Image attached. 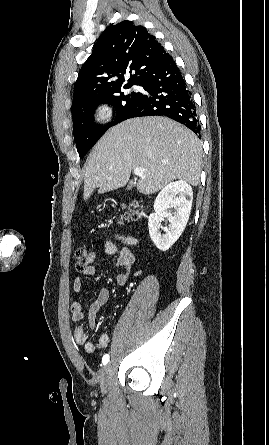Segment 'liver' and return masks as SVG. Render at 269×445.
<instances>
[{"label": "liver", "mask_w": 269, "mask_h": 445, "mask_svg": "<svg viewBox=\"0 0 269 445\" xmlns=\"http://www.w3.org/2000/svg\"><path fill=\"white\" fill-rule=\"evenodd\" d=\"M202 145L185 126L165 117L128 119L109 129L85 164L83 199L121 188L137 167L147 169L137 182L145 195L175 179L193 186L200 180Z\"/></svg>", "instance_id": "obj_1"}]
</instances>
